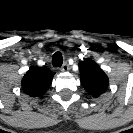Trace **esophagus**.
<instances>
[{
  "instance_id": "34e87169",
  "label": "esophagus",
  "mask_w": 133,
  "mask_h": 133,
  "mask_svg": "<svg viewBox=\"0 0 133 133\" xmlns=\"http://www.w3.org/2000/svg\"><path fill=\"white\" fill-rule=\"evenodd\" d=\"M70 69L69 65L67 62H64L63 65L61 66L60 70L62 72L68 71Z\"/></svg>"
}]
</instances>
